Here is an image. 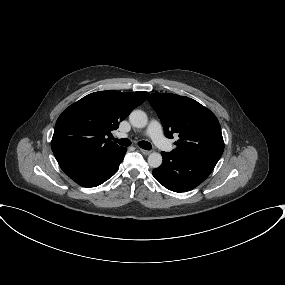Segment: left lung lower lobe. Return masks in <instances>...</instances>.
Wrapping results in <instances>:
<instances>
[{
	"label": "left lung lower lobe",
	"instance_id": "obj_1",
	"mask_svg": "<svg viewBox=\"0 0 285 285\" xmlns=\"http://www.w3.org/2000/svg\"><path fill=\"white\" fill-rule=\"evenodd\" d=\"M163 163L153 170L154 178L165 188L174 192H186L202 183L214 167L183 158L173 153L161 152Z\"/></svg>",
	"mask_w": 285,
	"mask_h": 285
}]
</instances>
